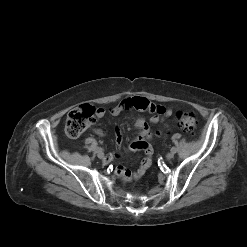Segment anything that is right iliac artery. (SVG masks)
I'll return each instance as SVG.
<instances>
[{
    "label": "right iliac artery",
    "mask_w": 247,
    "mask_h": 247,
    "mask_svg": "<svg viewBox=\"0 0 247 247\" xmlns=\"http://www.w3.org/2000/svg\"><path fill=\"white\" fill-rule=\"evenodd\" d=\"M103 149L102 148H100V147H97L96 148V151L98 152V151H102Z\"/></svg>",
    "instance_id": "obj_1"
}]
</instances>
